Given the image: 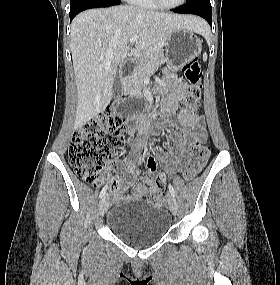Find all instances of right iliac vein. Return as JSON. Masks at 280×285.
<instances>
[{"label":"right iliac vein","mask_w":280,"mask_h":285,"mask_svg":"<svg viewBox=\"0 0 280 285\" xmlns=\"http://www.w3.org/2000/svg\"><path fill=\"white\" fill-rule=\"evenodd\" d=\"M108 206H109V198L107 195H105L101 199L100 204H99V210H100L101 215H104L106 213Z\"/></svg>","instance_id":"right-iliac-vein-1"}]
</instances>
